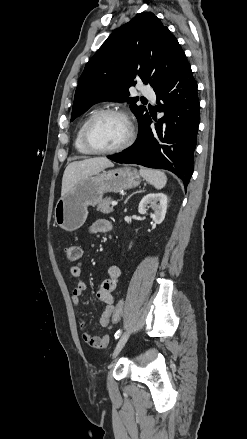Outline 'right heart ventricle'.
Listing matches in <instances>:
<instances>
[{"label": "right heart ventricle", "mask_w": 247, "mask_h": 439, "mask_svg": "<svg viewBox=\"0 0 247 439\" xmlns=\"http://www.w3.org/2000/svg\"><path fill=\"white\" fill-rule=\"evenodd\" d=\"M91 115H92V114L88 115L87 117H85V118L83 119V121H82L81 124L79 125V127H78V129H77V131H76L75 137H74V146H75V149H76L79 153H81V154H85V155H88V154H91V153L85 148V146H84L83 143H82V129H83V126H84L85 122L88 120V118H89Z\"/></svg>", "instance_id": "obj_1"}]
</instances>
